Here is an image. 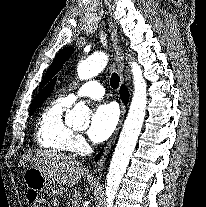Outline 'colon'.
Returning <instances> with one entry per match:
<instances>
[{"instance_id": "1", "label": "colon", "mask_w": 206, "mask_h": 207, "mask_svg": "<svg viewBox=\"0 0 206 207\" xmlns=\"http://www.w3.org/2000/svg\"><path fill=\"white\" fill-rule=\"evenodd\" d=\"M29 200L33 204V207H48V203L44 197L36 192L28 193Z\"/></svg>"}]
</instances>
